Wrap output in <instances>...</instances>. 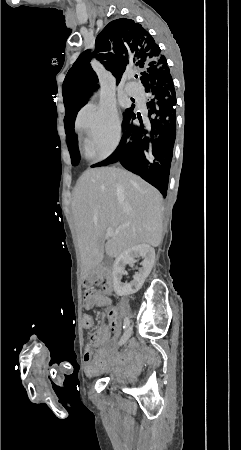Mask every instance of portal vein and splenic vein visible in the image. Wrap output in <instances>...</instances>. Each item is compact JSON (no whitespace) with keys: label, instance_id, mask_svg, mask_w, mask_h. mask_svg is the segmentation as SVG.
Returning a JSON list of instances; mask_svg holds the SVG:
<instances>
[{"label":"portal vein and splenic vein","instance_id":"portal-vein-and-splenic-vein-1","mask_svg":"<svg viewBox=\"0 0 241 450\" xmlns=\"http://www.w3.org/2000/svg\"><path fill=\"white\" fill-rule=\"evenodd\" d=\"M106 232V236H108V238H113V236H116V234H118V232H113L112 228H107Z\"/></svg>","mask_w":241,"mask_h":450}]
</instances>
